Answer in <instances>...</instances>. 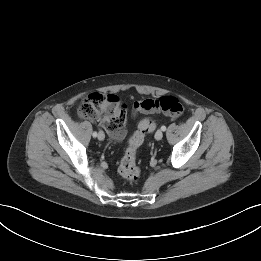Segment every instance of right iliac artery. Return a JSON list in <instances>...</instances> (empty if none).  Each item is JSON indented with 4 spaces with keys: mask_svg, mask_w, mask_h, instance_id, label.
Segmentation results:
<instances>
[{
    "mask_svg": "<svg viewBox=\"0 0 261 261\" xmlns=\"http://www.w3.org/2000/svg\"><path fill=\"white\" fill-rule=\"evenodd\" d=\"M92 135H93V137H97V132L94 131Z\"/></svg>",
    "mask_w": 261,
    "mask_h": 261,
    "instance_id": "1",
    "label": "right iliac artery"
}]
</instances>
